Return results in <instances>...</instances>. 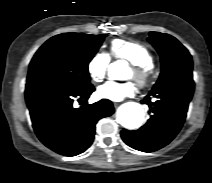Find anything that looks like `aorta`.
<instances>
[{
    "instance_id": "1",
    "label": "aorta",
    "mask_w": 212,
    "mask_h": 183,
    "mask_svg": "<svg viewBox=\"0 0 212 183\" xmlns=\"http://www.w3.org/2000/svg\"><path fill=\"white\" fill-rule=\"evenodd\" d=\"M122 64H124L123 61H118L110 65V77L115 76L116 67ZM144 115L145 114L142 105L136 102H127L119 107L117 111V120L123 127L127 129H136L143 124Z\"/></svg>"
}]
</instances>
